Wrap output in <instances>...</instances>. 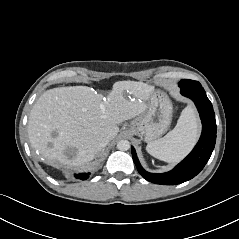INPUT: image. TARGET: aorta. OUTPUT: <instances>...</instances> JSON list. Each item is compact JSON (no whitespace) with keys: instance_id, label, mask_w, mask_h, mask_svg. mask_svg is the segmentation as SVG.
<instances>
[{"instance_id":"aorta-1","label":"aorta","mask_w":239,"mask_h":239,"mask_svg":"<svg viewBox=\"0 0 239 239\" xmlns=\"http://www.w3.org/2000/svg\"><path fill=\"white\" fill-rule=\"evenodd\" d=\"M117 148L121 151H127L130 148V142L128 140H120L117 143Z\"/></svg>"}]
</instances>
